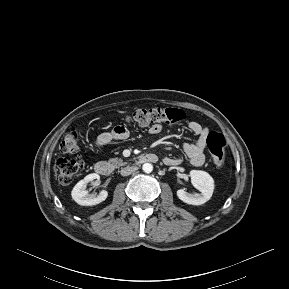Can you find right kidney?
Masks as SVG:
<instances>
[{"instance_id": "ca27d5eb", "label": "right kidney", "mask_w": 289, "mask_h": 289, "mask_svg": "<svg viewBox=\"0 0 289 289\" xmlns=\"http://www.w3.org/2000/svg\"><path fill=\"white\" fill-rule=\"evenodd\" d=\"M99 178L100 176L98 174L92 173L80 180L72 189L71 196L73 200L82 206L97 205L106 200L108 193L105 190L101 191L97 196L85 190L89 182Z\"/></svg>"}]
</instances>
